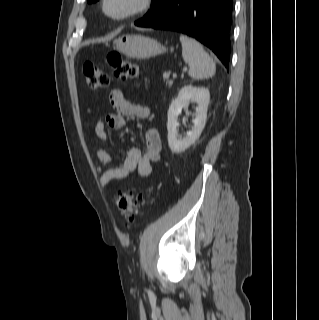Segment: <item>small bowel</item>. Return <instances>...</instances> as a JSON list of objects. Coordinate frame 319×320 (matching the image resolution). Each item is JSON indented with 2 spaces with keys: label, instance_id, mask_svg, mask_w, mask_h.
Here are the masks:
<instances>
[{
  "label": "small bowel",
  "instance_id": "c3829d8e",
  "mask_svg": "<svg viewBox=\"0 0 319 320\" xmlns=\"http://www.w3.org/2000/svg\"><path fill=\"white\" fill-rule=\"evenodd\" d=\"M109 102L114 112L108 113L104 121L95 124L94 132L99 140L110 139L109 129H121L125 126L126 118L146 119L151 114L147 105H136L128 102L120 89H113L109 95ZM161 137L157 129L150 128L145 133V148H131L125 158L117 163L114 155L108 150L100 149L95 152V159L99 164L108 166L102 169L97 165L96 171L99 183L106 187L114 180H123L131 172L137 171L142 177L152 173V165L160 157Z\"/></svg>",
  "mask_w": 319,
  "mask_h": 320
}]
</instances>
